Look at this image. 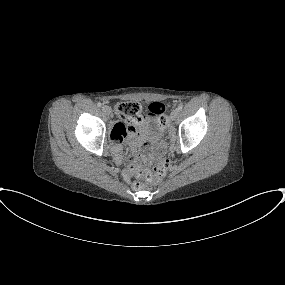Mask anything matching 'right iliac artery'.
Masks as SVG:
<instances>
[{"label":"right iliac artery","instance_id":"obj_1","mask_svg":"<svg viewBox=\"0 0 285 285\" xmlns=\"http://www.w3.org/2000/svg\"><path fill=\"white\" fill-rule=\"evenodd\" d=\"M97 106H98V107H101V106H102V104H101L100 102H98V103H97Z\"/></svg>","mask_w":285,"mask_h":285}]
</instances>
